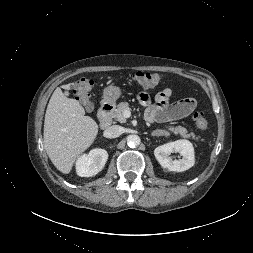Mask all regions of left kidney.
Wrapping results in <instances>:
<instances>
[{
  "label": "left kidney",
  "instance_id": "5707ae66",
  "mask_svg": "<svg viewBox=\"0 0 253 253\" xmlns=\"http://www.w3.org/2000/svg\"><path fill=\"white\" fill-rule=\"evenodd\" d=\"M179 153L182 159L173 160L169 155ZM157 161L169 171L182 172L191 168L195 163L194 148L188 140H177L157 147L154 150Z\"/></svg>",
  "mask_w": 253,
  "mask_h": 253
}]
</instances>
